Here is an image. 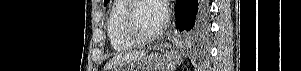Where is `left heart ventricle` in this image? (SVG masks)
I'll use <instances>...</instances> for the list:
<instances>
[{
  "mask_svg": "<svg viewBox=\"0 0 301 71\" xmlns=\"http://www.w3.org/2000/svg\"><path fill=\"white\" fill-rule=\"evenodd\" d=\"M134 21L144 35H151L161 29L153 1H144L138 5L134 12Z\"/></svg>",
  "mask_w": 301,
  "mask_h": 71,
  "instance_id": "1",
  "label": "left heart ventricle"
}]
</instances>
